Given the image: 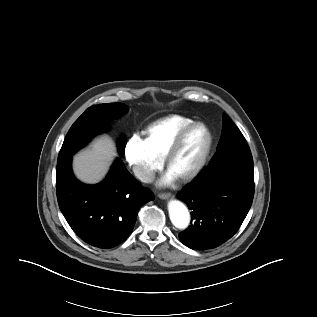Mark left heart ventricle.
Returning a JSON list of instances; mask_svg holds the SVG:
<instances>
[{
	"label": "left heart ventricle",
	"instance_id": "b2bd125f",
	"mask_svg": "<svg viewBox=\"0 0 317 317\" xmlns=\"http://www.w3.org/2000/svg\"><path fill=\"white\" fill-rule=\"evenodd\" d=\"M206 140L205 131L201 127L194 128L184 139L182 146L171 162L169 171L176 177L188 173L199 161Z\"/></svg>",
	"mask_w": 317,
	"mask_h": 317
}]
</instances>
